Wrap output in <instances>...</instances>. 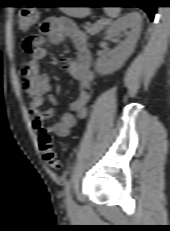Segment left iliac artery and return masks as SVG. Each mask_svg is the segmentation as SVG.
Here are the masks:
<instances>
[{"label":"left iliac artery","instance_id":"1","mask_svg":"<svg viewBox=\"0 0 170 231\" xmlns=\"http://www.w3.org/2000/svg\"><path fill=\"white\" fill-rule=\"evenodd\" d=\"M65 196L68 201L71 199V182L70 180L65 181V188H64Z\"/></svg>","mask_w":170,"mask_h":231}]
</instances>
